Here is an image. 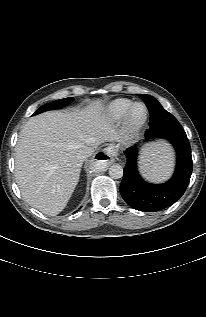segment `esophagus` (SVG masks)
<instances>
[{"instance_id":"34e87169","label":"esophagus","mask_w":206,"mask_h":317,"mask_svg":"<svg viewBox=\"0 0 206 317\" xmlns=\"http://www.w3.org/2000/svg\"><path fill=\"white\" fill-rule=\"evenodd\" d=\"M117 153L118 149L113 145H109L96 155L95 163L110 165L114 162V156H116Z\"/></svg>"}]
</instances>
